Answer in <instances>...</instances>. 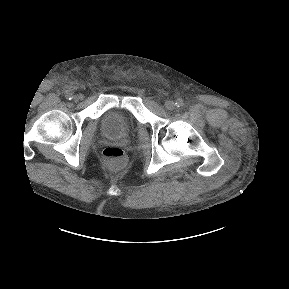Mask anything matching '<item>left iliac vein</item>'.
<instances>
[{
    "label": "left iliac vein",
    "mask_w": 289,
    "mask_h": 289,
    "mask_svg": "<svg viewBox=\"0 0 289 289\" xmlns=\"http://www.w3.org/2000/svg\"><path fill=\"white\" fill-rule=\"evenodd\" d=\"M165 108L167 110H173L175 108V103L171 100L165 102Z\"/></svg>",
    "instance_id": "obj_1"
}]
</instances>
